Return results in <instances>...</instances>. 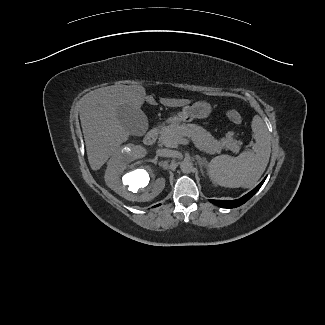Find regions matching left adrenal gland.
Returning a JSON list of instances; mask_svg holds the SVG:
<instances>
[{
  "mask_svg": "<svg viewBox=\"0 0 325 325\" xmlns=\"http://www.w3.org/2000/svg\"><path fill=\"white\" fill-rule=\"evenodd\" d=\"M196 160L199 164V167H200V170H201V173L202 175L204 176V171H203V167L206 168L207 167V161L205 158H201L200 156L196 155Z\"/></svg>",
  "mask_w": 325,
  "mask_h": 325,
  "instance_id": "left-adrenal-gland-1",
  "label": "left adrenal gland"
}]
</instances>
